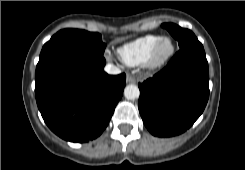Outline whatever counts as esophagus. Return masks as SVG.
<instances>
[{
	"instance_id": "1",
	"label": "esophagus",
	"mask_w": 245,
	"mask_h": 170,
	"mask_svg": "<svg viewBox=\"0 0 245 170\" xmlns=\"http://www.w3.org/2000/svg\"><path fill=\"white\" fill-rule=\"evenodd\" d=\"M126 82L127 83H135L136 79L132 75H127Z\"/></svg>"
}]
</instances>
